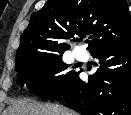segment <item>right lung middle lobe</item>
<instances>
[{"mask_svg": "<svg viewBox=\"0 0 131 115\" xmlns=\"http://www.w3.org/2000/svg\"><path fill=\"white\" fill-rule=\"evenodd\" d=\"M64 52L31 54L15 65L17 79L35 96L51 100L62 96L68 83L77 75L67 71V64L62 61Z\"/></svg>", "mask_w": 131, "mask_h": 115, "instance_id": "1", "label": "right lung middle lobe"}]
</instances>
